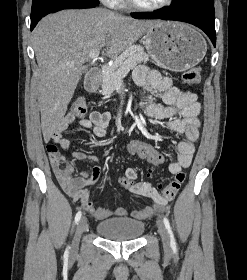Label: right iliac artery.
I'll list each match as a JSON object with an SVG mask.
<instances>
[{
  "mask_svg": "<svg viewBox=\"0 0 247 280\" xmlns=\"http://www.w3.org/2000/svg\"><path fill=\"white\" fill-rule=\"evenodd\" d=\"M81 215H82L81 211H79V212L76 214V216H75V223H78V222H79V220H80V218H81ZM66 253H68V248H67V250H66Z\"/></svg>",
  "mask_w": 247,
  "mask_h": 280,
  "instance_id": "right-iliac-artery-1",
  "label": "right iliac artery"
}]
</instances>
